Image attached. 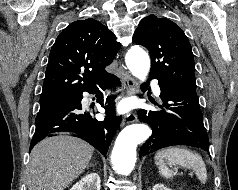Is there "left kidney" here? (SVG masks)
Returning a JSON list of instances; mask_svg holds the SVG:
<instances>
[{"label": "left kidney", "instance_id": "5707ae66", "mask_svg": "<svg viewBox=\"0 0 238 190\" xmlns=\"http://www.w3.org/2000/svg\"><path fill=\"white\" fill-rule=\"evenodd\" d=\"M153 190H171V189L165 187L163 184H156V185L153 187Z\"/></svg>", "mask_w": 238, "mask_h": 190}]
</instances>
